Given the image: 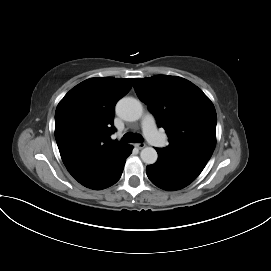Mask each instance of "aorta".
<instances>
[{"label":"aorta","mask_w":271,"mask_h":271,"mask_svg":"<svg viewBox=\"0 0 271 271\" xmlns=\"http://www.w3.org/2000/svg\"><path fill=\"white\" fill-rule=\"evenodd\" d=\"M117 114L124 120L136 121L143 114V107L139 100L132 97H124L116 105ZM142 161L146 164H154L158 154L152 147H145L140 153Z\"/></svg>","instance_id":"aorta-1"}]
</instances>
